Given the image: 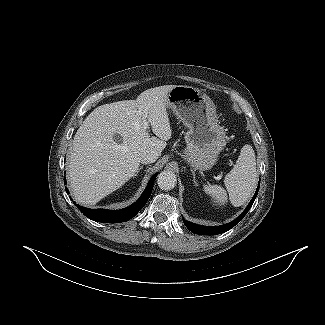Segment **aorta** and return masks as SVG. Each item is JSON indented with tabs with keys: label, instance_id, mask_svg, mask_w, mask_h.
I'll list each match as a JSON object with an SVG mask.
<instances>
[{
	"label": "aorta",
	"instance_id": "762f6f07",
	"mask_svg": "<svg viewBox=\"0 0 325 325\" xmlns=\"http://www.w3.org/2000/svg\"><path fill=\"white\" fill-rule=\"evenodd\" d=\"M177 178L174 172L164 170L157 177V184L162 190H171L176 186Z\"/></svg>",
	"mask_w": 325,
	"mask_h": 325
}]
</instances>
